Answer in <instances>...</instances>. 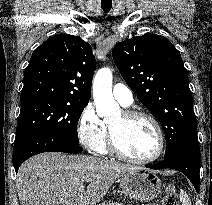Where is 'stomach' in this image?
I'll return each mask as SVG.
<instances>
[{"instance_id": "0dacf381", "label": "stomach", "mask_w": 212, "mask_h": 205, "mask_svg": "<svg viewBox=\"0 0 212 205\" xmlns=\"http://www.w3.org/2000/svg\"><path fill=\"white\" fill-rule=\"evenodd\" d=\"M119 186L125 196L148 202L161 193L162 183L154 172L137 168L124 173L119 179Z\"/></svg>"}]
</instances>
